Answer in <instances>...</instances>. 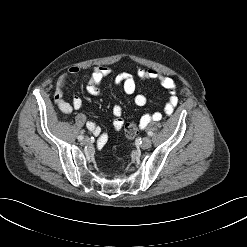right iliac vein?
Masks as SVG:
<instances>
[{"label":"right iliac vein","mask_w":247,"mask_h":247,"mask_svg":"<svg viewBox=\"0 0 247 247\" xmlns=\"http://www.w3.org/2000/svg\"><path fill=\"white\" fill-rule=\"evenodd\" d=\"M83 144L87 145V144H90L91 143V140L89 137H85L82 141Z\"/></svg>","instance_id":"right-iliac-vein-1"}]
</instances>
